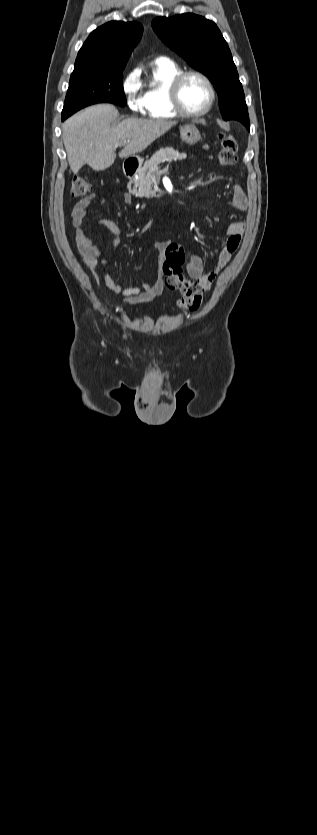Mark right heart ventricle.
Segmentation results:
<instances>
[{"mask_svg": "<svg viewBox=\"0 0 317 835\" xmlns=\"http://www.w3.org/2000/svg\"><path fill=\"white\" fill-rule=\"evenodd\" d=\"M181 71L180 66L169 59L153 62L151 80L142 95L148 117L166 120L180 116L171 103L169 88L173 78Z\"/></svg>", "mask_w": 317, "mask_h": 835, "instance_id": "e07e8e85", "label": "right heart ventricle"}]
</instances>
